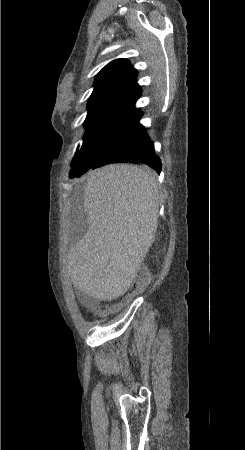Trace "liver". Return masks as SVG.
Here are the masks:
<instances>
[{
  "instance_id": "liver-1",
  "label": "liver",
  "mask_w": 245,
  "mask_h": 450,
  "mask_svg": "<svg viewBox=\"0 0 245 450\" xmlns=\"http://www.w3.org/2000/svg\"><path fill=\"white\" fill-rule=\"evenodd\" d=\"M88 231L72 246L73 284L102 301L125 294L158 225L159 186L147 167L112 164L90 171L83 192Z\"/></svg>"
}]
</instances>
